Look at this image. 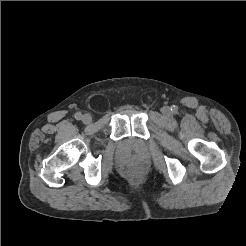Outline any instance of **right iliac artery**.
Wrapping results in <instances>:
<instances>
[{
    "instance_id": "82829eb1",
    "label": "right iliac artery",
    "mask_w": 246,
    "mask_h": 246,
    "mask_svg": "<svg viewBox=\"0 0 246 246\" xmlns=\"http://www.w3.org/2000/svg\"><path fill=\"white\" fill-rule=\"evenodd\" d=\"M75 118H76L77 120H81V119H82V114H81V113H76V114H75Z\"/></svg>"
}]
</instances>
